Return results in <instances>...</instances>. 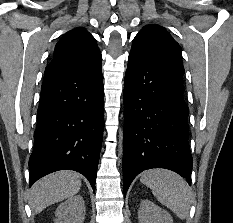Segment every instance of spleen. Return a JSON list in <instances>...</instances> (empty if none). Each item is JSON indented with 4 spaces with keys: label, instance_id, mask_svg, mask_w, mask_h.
I'll use <instances>...</instances> for the list:
<instances>
[{
    "label": "spleen",
    "instance_id": "1",
    "mask_svg": "<svg viewBox=\"0 0 233 223\" xmlns=\"http://www.w3.org/2000/svg\"><path fill=\"white\" fill-rule=\"evenodd\" d=\"M140 181L146 183L160 203L172 209L180 219L189 215L191 191L188 183L174 171L168 169H149Z\"/></svg>",
    "mask_w": 233,
    "mask_h": 223
}]
</instances>
